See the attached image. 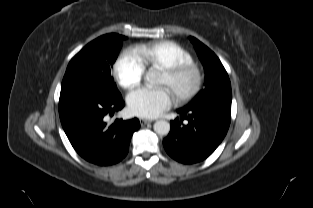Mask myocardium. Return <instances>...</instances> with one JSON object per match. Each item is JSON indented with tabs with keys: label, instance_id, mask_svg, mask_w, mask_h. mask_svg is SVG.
Segmentation results:
<instances>
[{
	"label": "myocardium",
	"instance_id": "myocardium-1",
	"mask_svg": "<svg viewBox=\"0 0 313 208\" xmlns=\"http://www.w3.org/2000/svg\"><path fill=\"white\" fill-rule=\"evenodd\" d=\"M168 78V87L174 93L178 102L184 103L192 100L200 92L203 85V72L193 63H182L173 67L162 69ZM184 79H189L186 86H181Z\"/></svg>",
	"mask_w": 313,
	"mask_h": 208
}]
</instances>
